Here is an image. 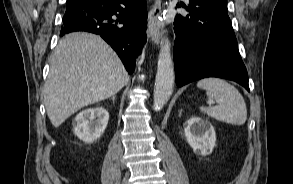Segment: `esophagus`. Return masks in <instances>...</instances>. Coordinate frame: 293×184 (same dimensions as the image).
I'll list each match as a JSON object with an SVG mask.
<instances>
[{
    "mask_svg": "<svg viewBox=\"0 0 293 184\" xmlns=\"http://www.w3.org/2000/svg\"><path fill=\"white\" fill-rule=\"evenodd\" d=\"M161 15V7L159 0H155L153 6L149 10L148 13V28L147 33L149 38L152 40V42L155 45L160 44L161 36H160V30H159V22Z\"/></svg>",
    "mask_w": 293,
    "mask_h": 184,
    "instance_id": "1",
    "label": "esophagus"
}]
</instances>
